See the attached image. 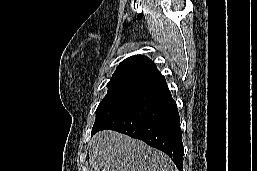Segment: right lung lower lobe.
I'll list each match as a JSON object with an SVG mask.
<instances>
[{"label": "right lung lower lobe", "instance_id": "1", "mask_svg": "<svg viewBox=\"0 0 257 171\" xmlns=\"http://www.w3.org/2000/svg\"><path fill=\"white\" fill-rule=\"evenodd\" d=\"M111 129L166 153L183 171L184 148L176 102L166 81L144 91L109 117L92 135Z\"/></svg>", "mask_w": 257, "mask_h": 171}]
</instances>
